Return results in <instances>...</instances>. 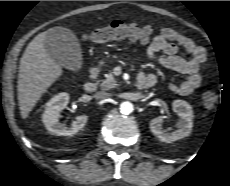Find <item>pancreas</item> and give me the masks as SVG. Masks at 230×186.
Masks as SVG:
<instances>
[{
	"mask_svg": "<svg viewBox=\"0 0 230 186\" xmlns=\"http://www.w3.org/2000/svg\"><path fill=\"white\" fill-rule=\"evenodd\" d=\"M105 77L106 78L101 80V83H100V87L103 91L110 90L118 85L117 81L115 80L111 72L108 73Z\"/></svg>",
	"mask_w": 230,
	"mask_h": 186,
	"instance_id": "obj_1",
	"label": "pancreas"
}]
</instances>
